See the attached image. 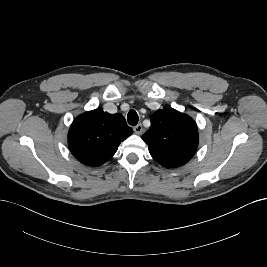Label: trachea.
<instances>
[{
  "mask_svg": "<svg viewBox=\"0 0 267 267\" xmlns=\"http://www.w3.org/2000/svg\"><path fill=\"white\" fill-rule=\"evenodd\" d=\"M139 120L138 114L135 110H130L127 115V121L130 125L135 126L137 125Z\"/></svg>",
  "mask_w": 267,
  "mask_h": 267,
  "instance_id": "obj_1",
  "label": "trachea"
}]
</instances>
